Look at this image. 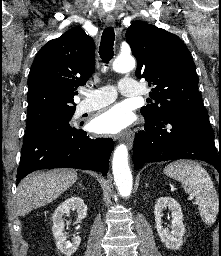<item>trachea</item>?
I'll list each match as a JSON object with an SVG mask.
<instances>
[{"label":"trachea","instance_id":"trachea-1","mask_svg":"<svg viewBox=\"0 0 221 256\" xmlns=\"http://www.w3.org/2000/svg\"><path fill=\"white\" fill-rule=\"evenodd\" d=\"M114 40L115 33L112 27L105 28L102 33V38L99 47V54L104 63L108 64L114 56Z\"/></svg>","mask_w":221,"mask_h":256}]
</instances>
